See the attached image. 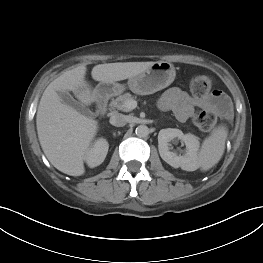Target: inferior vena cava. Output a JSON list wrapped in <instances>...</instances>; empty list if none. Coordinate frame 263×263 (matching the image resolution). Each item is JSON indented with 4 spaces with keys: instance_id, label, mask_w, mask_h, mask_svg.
I'll return each mask as SVG.
<instances>
[{
    "instance_id": "1",
    "label": "inferior vena cava",
    "mask_w": 263,
    "mask_h": 263,
    "mask_svg": "<svg viewBox=\"0 0 263 263\" xmlns=\"http://www.w3.org/2000/svg\"><path fill=\"white\" fill-rule=\"evenodd\" d=\"M110 124L116 127H122L126 124V117L121 113H113L109 120Z\"/></svg>"
}]
</instances>
